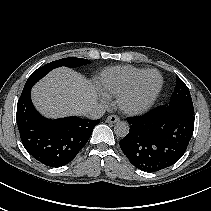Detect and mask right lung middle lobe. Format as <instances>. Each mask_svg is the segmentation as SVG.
<instances>
[{
	"mask_svg": "<svg viewBox=\"0 0 211 211\" xmlns=\"http://www.w3.org/2000/svg\"><path fill=\"white\" fill-rule=\"evenodd\" d=\"M89 63L87 59H82V58H74V57H69V58H63L60 60H56L53 62H50L37 70H35L30 77L28 78L24 88L23 92H26L28 90H31L32 86L40 80L42 77H44L48 72H50L52 69L61 67V66H66V67H78L84 64Z\"/></svg>",
	"mask_w": 211,
	"mask_h": 211,
	"instance_id": "1",
	"label": "right lung middle lobe"
}]
</instances>
